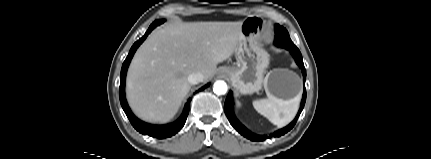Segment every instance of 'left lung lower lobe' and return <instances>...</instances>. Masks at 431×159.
<instances>
[{
  "instance_id": "obj_1",
  "label": "left lung lower lobe",
  "mask_w": 431,
  "mask_h": 159,
  "mask_svg": "<svg viewBox=\"0 0 431 159\" xmlns=\"http://www.w3.org/2000/svg\"><path fill=\"white\" fill-rule=\"evenodd\" d=\"M291 54L293 55V57L295 58L296 63L298 64V66L302 69V73H303V82L305 84V80H306V70L304 67V63L302 60V55L300 53V51L298 50V48L296 49H288ZM305 101H306V90L304 87V92H303V97H302V101H301V106L299 109V112L296 116V118L286 127L270 134L269 136H265V135H256L252 132H250L248 129H246L235 117L234 113H233V100H232V94L231 92L227 95L226 101H225V105H224V110H225V114L230 122V124L234 127V129H236L241 135H243L244 137H246L247 139L251 140V141H264L265 139L271 138V137H280L284 134H286L288 131H290L301 111L304 108L305 105Z\"/></svg>"
}]
</instances>
